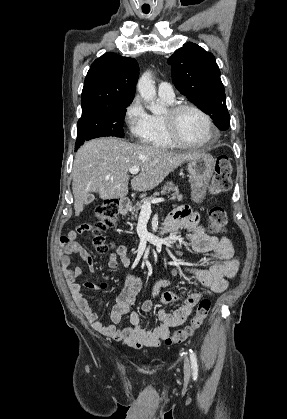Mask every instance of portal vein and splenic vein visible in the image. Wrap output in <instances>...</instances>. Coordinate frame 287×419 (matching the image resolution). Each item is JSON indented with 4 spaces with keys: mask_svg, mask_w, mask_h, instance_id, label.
I'll use <instances>...</instances> for the list:
<instances>
[{
    "mask_svg": "<svg viewBox=\"0 0 287 419\" xmlns=\"http://www.w3.org/2000/svg\"><path fill=\"white\" fill-rule=\"evenodd\" d=\"M129 172L131 173V174H137L138 172H139V168L138 167H131L130 169H129ZM164 201V198H155V199H153V200H151V201H145L144 203H143V205H142V210L143 211H151V203H160V202H163Z\"/></svg>",
    "mask_w": 287,
    "mask_h": 419,
    "instance_id": "18ae733b",
    "label": "portal vein and splenic vein"
}]
</instances>
